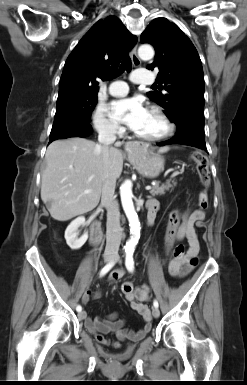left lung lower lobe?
I'll return each mask as SVG.
<instances>
[{"instance_id": "0a47b994", "label": "left lung lower lobe", "mask_w": 247, "mask_h": 385, "mask_svg": "<svg viewBox=\"0 0 247 385\" xmlns=\"http://www.w3.org/2000/svg\"><path fill=\"white\" fill-rule=\"evenodd\" d=\"M174 123L178 127L176 136L165 142L157 143L158 146L183 144L206 150L204 115L182 114Z\"/></svg>"}]
</instances>
